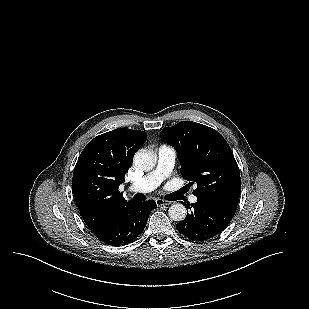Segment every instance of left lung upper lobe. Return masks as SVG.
Wrapping results in <instances>:
<instances>
[{
	"label": "left lung upper lobe",
	"instance_id": "1",
	"mask_svg": "<svg viewBox=\"0 0 309 309\" xmlns=\"http://www.w3.org/2000/svg\"><path fill=\"white\" fill-rule=\"evenodd\" d=\"M161 139L173 145L181 162V175L197 184L196 197L215 198L238 204L240 172L226 140L216 130L182 121L165 127Z\"/></svg>",
	"mask_w": 309,
	"mask_h": 309
}]
</instances>
